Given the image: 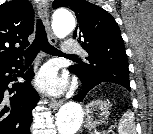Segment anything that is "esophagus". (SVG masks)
<instances>
[{"label":"esophagus","mask_w":153,"mask_h":134,"mask_svg":"<svg viewBox=\"0 0 153 134\" xmlns=\"http://www.w3.org/2000/svg\"><path fill=\"white\" fill-rule=\"evenodd\" d=\"M37 7H38V14L45 26L48 39L51 43L54 44L56 43V39L50 27L49 16H48V5H47L46 0H39ZM62 103H63V100H51L50 107L55 110L58 107H60Z\"/></svg>","instance_id":"esophagus-1"}]
</instances>
